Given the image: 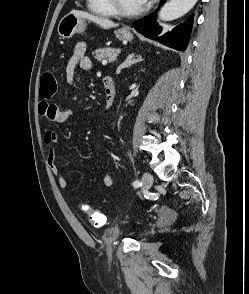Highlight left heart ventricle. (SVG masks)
I'll return each instance as SVG.
<instances>
[{"mask_svg": "<svg viewBox=\"0 0 249 294\" xmlns=\"http://www.w3.org/2000/svg\"><path fill=\"white\" fill-rule=\"evenodd\" d=\"M120 5L126 10H135L142 7L140 0H119Z\"/></svg>", "mask_w": 249, "mask_h": 294, "instance_id": "obj_1", "label": "left heart ventricle"}]
</instances>
